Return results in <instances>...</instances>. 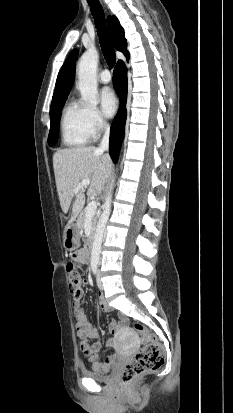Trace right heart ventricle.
Instances as JSON below:
<instances>
[{"mask_svg": "<svg viewBox=\"0 0 233 413\" xmlns=\"http://www.w3.org/2000/svg\"><path fill=\"white\" fill-rule=\"evenodd\" d=\"M61 139L68 148L83 147L94 135L87 121V107L76 100H70L63 109L60 121Z\"/></svg>", "mask_w": 233, "mask_h": 413, "instance_id": "right-heart-ventricle-1", "label": "right heart ventricle"}]
</instances>
